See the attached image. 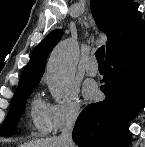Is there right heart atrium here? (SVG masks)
Returning a JSON list of instances; mask_svg holds the SVG:
<instances>
[{"instance_id": "right-heart-atrium-1", "label": "right heart atrium", "mask_w": 145, "mask_h": 147, "mask_svg": "<svg viewBox=\"0 0 145 147\" xmlns=\"http://www.w3.org/2000/svg\"><path fill=\"white\" fill-rule=\"evenodd\" d=\"M81 112V102L75 89L61 102L46 105L48 131L57 132L76 122Z\"/></svg>"}]
</instances>
